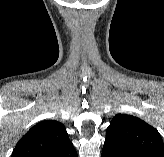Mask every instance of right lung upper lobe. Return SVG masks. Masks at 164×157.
<instances>
[{
	"instance_id": "obj_1",
	"label": "right lung upper lobe",
	"mask_w": 164,
	"mask_h": 157,
	"mask_svg": "<svg viewBox=\"0 0 164 157\" xmlns=\"http://www.w3.org/2000/svg\"><path fill=\"white\" fill-rule=\"evenodd\" d=\"M70 143L63 124L45 120L33 126L20 139L11 157H50Z\"/></svg>"
}]
</instances>
